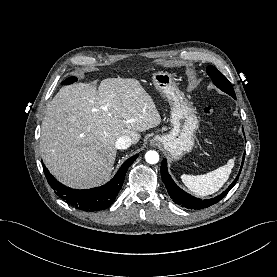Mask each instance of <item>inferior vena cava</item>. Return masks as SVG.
<instances>
[{"label": "inferior vena cava", "mask_w": 277, "mask_h": 277, "mask_svg": "<svg viewBox=\"0 0 277 277\" xmlns=\"http://www.w3.org/2000/svg\"><path fill=\"white\" fill-rule=\"evenodd\" d=\"M131 146V138L129 136L123 135L119 137L115 143L117 149H127Z\"/></svg>", "instance_id": "obj_1"}]
</instances>
